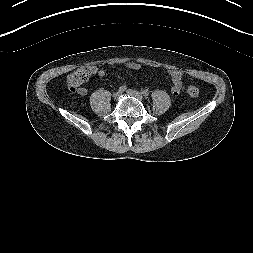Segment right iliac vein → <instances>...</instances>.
Wrapping results in <instances>:
<instances>
[{
    "label": "right iliac vein",
    "instance_id": "obj_1",
    "mask_svg": "<svg viewBox=\"0 0 253 253\" xmlns=\"http://www.w3.org/2000/svg\"><path fill=\"white\" fill-rule=\"evenodd\" d=\"M120 96V92H116L115 94H114V97H119Z\"/></svg>",
    "mask_w": 253,
    "mask_h": 253
}]
</instances>
